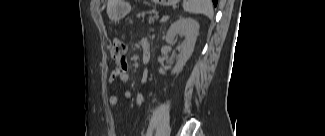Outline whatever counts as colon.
Instances as JSON below:
<instances>
[{"mask_svg": "<svg viewBox=\"0 0 325 136\" xmlns=\"http://www.w3.org/2000/svg\"><path fill=\"white\" fill-rule=\"evenodd\" d=\"M126 52V44L120 40L115 39L110 48V55L116 61L124 60V54Z\"/></svg>", "mask_w": 325, "mask_h": 136, "instance_id": "obj_1", "label": "colon"}]
</instances>
